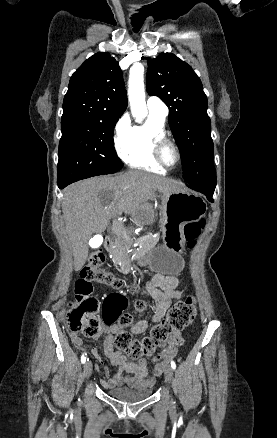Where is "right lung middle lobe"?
Instances as JSON below:
<instances>
[{"instance_id":"1","label":"right lung middle lobe","mask_w":277,"mask_h":438,"mask_svg":"<svg viewBox=\"0 0 277 438\" xmlns=\"http://www.w3.org/2000/svg\"><path fill=\"white\" fill-rule=\"evenodd\" d=\"M116 122L82 117L61 119L58 183L115 173L123 167L114 148Z\"/></svg>"}]
</instances>
